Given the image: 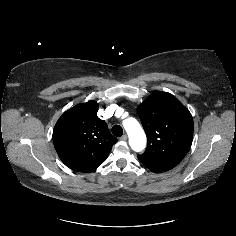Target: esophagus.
<instances>
[{
  "label": "esophagus",
  "instance_id": "obj_1",
  "mask_svg": "<svg viewBox=\"0 0 236 236\" xmlns=\"http://www.w3.org/2000/svg\"><path fill=\"white\" fill-rule=\"evenodd\" d=\"M120 140H121V141H126V140H127V135L124 134L122 137H120Z\"/></svg>",
  "mask_w": 236,
  "mask_h": 236
}]
</instances>
